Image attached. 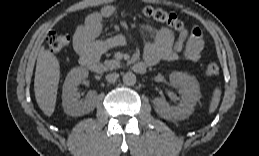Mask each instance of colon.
<instances>
[{
    "label": "colon",
    "mask_w": 259,
    "mask_h": 156,
    "mask_svg": "<svg viewBox=\"0 0 259 156\" xmlns=\"http://www.w3.org/2000/svg\"><path fill=\"white\" fill-rule=\"evenodd\" d=\"M142 15L151 18L159 23H163L170 29L181 32L185 28L183 23L178 19L176 14L165 11L161 8L146 6L141 9ZM49 49L53 53H58L64 50L70 43V38L65 34L51 32L47 38ZM219 67L215 62H210L205 67V74L208 77H214L218 74Z\"/></svg>",
    "instance_id": "5ec220e1"
}]
</instances>
